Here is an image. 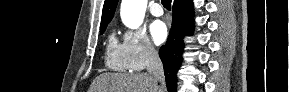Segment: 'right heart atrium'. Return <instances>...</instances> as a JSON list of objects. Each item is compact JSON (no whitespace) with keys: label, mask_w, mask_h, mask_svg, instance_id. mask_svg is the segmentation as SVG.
<instances>
[{"label":"right heart atrium","mask_w":289,"mask_h":92,"mask_svg":"<svg viewBox=\"0 0 289 92\" xmlns=\"http://www.w3.org/2000/svg\"><path fill=\"white\" fill-rule=\"evenodd\" d=\"M122 49L127 68L131 71L144 69L158 57L155 46L143 29L125 31Z\"/></svg>","instance_id":"obj_1"}]
</instances>
